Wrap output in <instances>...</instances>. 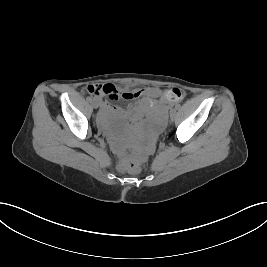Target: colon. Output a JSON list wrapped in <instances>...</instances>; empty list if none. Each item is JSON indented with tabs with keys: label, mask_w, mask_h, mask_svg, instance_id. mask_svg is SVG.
I'll use <instances>...</instances> for the list:
<instances>
[{
	"label": "colon",
	"mask_w": 267,
	"mask_h": 267,
	"mask_svg": "<svg viewBox=\"0 0 267 267\" xmlns=\"http://www.w3.org/2000/svg\"><path fill=\"white\" fill-rule=\"evenodd\" d=\"M93 89L91 91L92 94L102 95L104 97L109 98L110 100H119L123 97L113 86L110 85H101V84H93ZM170 93L174 100L180 101L184 98V92L180 89H172ZM120 168L130 172V173H137L140 170V166L137 163H133L128 160H121L120 161Z\"/></svg>",
	"instance_id": "5ec220e1"
}]
</instances>
